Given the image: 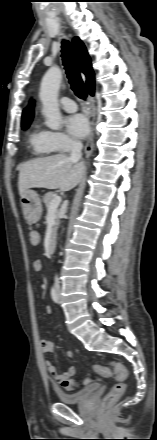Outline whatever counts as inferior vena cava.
Wrapping results in <instances>:
<instances>
[{"instance_id": "inferior-vena-cava-1", "label": "inferior vena cava", "mask_w": 157, "mask_h": 440, "mask_svg": "<svg viewBox=\"0 0 157 440\" xmlns=\"http://www.w3.org/2000/svg\"><path fill=\"white\" fill-rule=\"evenodd\" d=\"M82 148L83 145L80 141H74L73 145H72V150H71V155H70V160L72 162L77 163L81 157H82ZM55 286L57 288H59V280L58 277L55 278Z\"/></svg>"}]
</instances>
